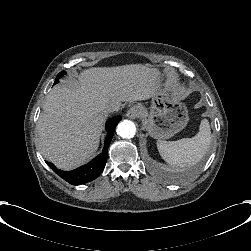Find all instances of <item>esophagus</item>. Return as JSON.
I'll return each mask as SVG.
<instances>
[{
    "label": "esophagus",
    "instance_id": "1",
    "mask_svg": "<svg viewBox=\"0 0 251 251\" xmlns=\"http://www.w3.org/2000/svg\"><path fill=\"white\" fill-rule=\"evenodd\" d=\"M140 115V107L137 105L132 106L126 113V116L130 119H135Z\"/></svg>",
    "mask_w": 251,
    "mask_h": 251
}]
</instances>
